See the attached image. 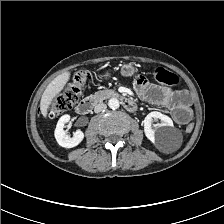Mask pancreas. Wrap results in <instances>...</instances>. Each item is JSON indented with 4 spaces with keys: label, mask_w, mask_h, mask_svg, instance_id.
Wrapping results in <instances>:
<instances>
[{
    "label": "pancreas",
    "mask_w": 224,
    "mask_h": 224,
    "mask_svg": "<svg viewBox=\"0 0 224 224\" xmlns=\"http://www.w3.org/2000/svg\"><path fill=\"white\" fill-rule=\"evenodd\" d=\"M110 92H112V93H113V91H110ZM99 94H103V92H100Z\"/></svg>",
    "instance_id": "pancreas-1"
}]
</instances>
